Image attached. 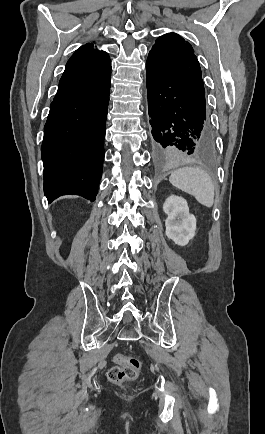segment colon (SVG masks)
Listing matches in <instances>:
<instances>
[{"instance_id":"5ec220e1","label":"colon","mask_w":265,"mask_h":434,"mask_svg":"<svg viewBox=\"0 0 265 434\" xmlns=\"http://www.w3.org/2000/svg\"><path fill=\"white\" fill-rule=\"evenodd\" d=\"M118 365L112 367L107 372V377L114 383L126 384L139 377L140 371L143 367L142 359L134 356L116 357Z\"/></svg>"}]
</instances>
